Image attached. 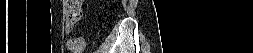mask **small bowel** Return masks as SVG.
<instances>
[{"label":"small bowel","instance_id":"small-bowel-1","mask_svg":"<svg viewBox=\"0 0 253 53\" xmlns=\"http://www.w3.org/2000/svg\"><path fill=\"white\" fill-rule=\"evenodd\" d=\"M65 31L67 34H72L74 31V25L68 21L65 23ZM67 48L74 53H81L85 48V39L78 36H70L66 41Z\"/></svg>","mask_w":253,"mask_h":53}]
</instances>
